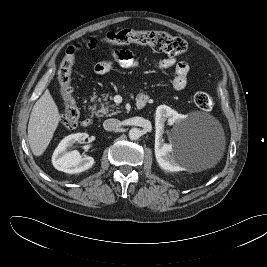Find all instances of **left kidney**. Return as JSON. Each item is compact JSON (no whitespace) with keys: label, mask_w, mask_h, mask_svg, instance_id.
Here are the masks:
<instances>
[{"label":"left kidney","mask_w":267,"mask_h":267,"mask_svg":"<svg viewBox=\"0 0 267 267\" xmlns=\"http://www.w3.org/2000/svg\"><path fill=\"white\" fill-rule=\"evenodd\" d=\"M183 119H185L184 115L179 114L169 106L160 105L156 109L155 157L160 168L166 172H179L183 171L184 168L177 163L172 155H170V152L172 151V145L163 143L161 139V136L164 133V123L166 120H168V123L172 125L174 123H179Z\"/></svg>","instance_id":"obj_1"}]
</instances>
